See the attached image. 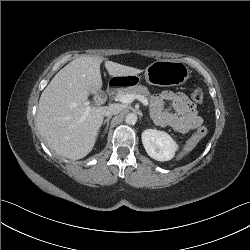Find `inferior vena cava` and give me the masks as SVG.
<instances>
[{
  "instance_id": "obj_1",
  "label": "inferior vena cava",
  "mask_w": 250,
  "mask_h": 250,
  "mask_svg": "<svg viewBox=\"0 0 250 250\" xmlns=\"http://www.w3.org/2000/svg\"><path fill=\"white\" fill-rule=\"evenodd\" d=\"M122 110V107L118 104H111L106 107V110L104 112L105 116L111 117L112 115L119 114Z\"/></svg>"
}]
</instances>
